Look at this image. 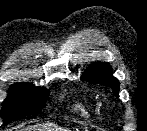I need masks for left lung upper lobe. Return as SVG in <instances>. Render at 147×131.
<instances>
[{
    "instance_id": "5c2ea615",
    "label": "left lung upper lobe",
    "mask_w": 147,
    "mask_h": 131,
    "mask_svg": "<svg viewBox=\"0 0 147 131\" xmlns=\"http://www.w3.org/2000/svg\"><path fill=\"white\" fill-rule=\"evenodd\" d=\"M81 80L108 86L116 96H119V82L113 77L112 68L108 63L96 62L90 65Z\"/></svg>"
}]
</instances>
